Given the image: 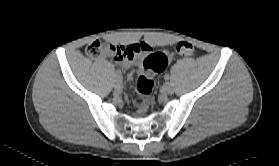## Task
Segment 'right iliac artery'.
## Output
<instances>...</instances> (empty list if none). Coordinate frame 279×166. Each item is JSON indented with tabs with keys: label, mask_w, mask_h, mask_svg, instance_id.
<instances>
[{
	"label": "right iliac artery",
	"mask_w": 279,
	"mask_h": 166,
	"mask_svg": "<svg viewBox=\"0 0 279 166\" xmlns=\"http://www.w3.org/2000/svg\"><path fill=\"white\" fill-rule=\"evenodd\" d=\"M121 76H122V73L120 71H116V77L121 78Z\"/></svg>",
	"instance_id": "obj_1"
}]
</instances>
